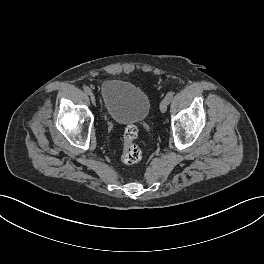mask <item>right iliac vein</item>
Wrapping results in <instances>:
<instances>
[{
    "label": "right iliac vein",
    "instance_id": "obj_1",
    "mask_svg": "<svg viewBox=\"0 0 264 264\" xmlns=\"http://www.w3.org/2000/svg\"><path fill=\"white\" fill-rule=\"evenodd\" d=\"M89 95H90V99H91L92 103L95 105L96 104L95 95L92 92Z\"/></svg>",
    "mask_w": 264,
    "mask_h": 264
}]
</instances>
